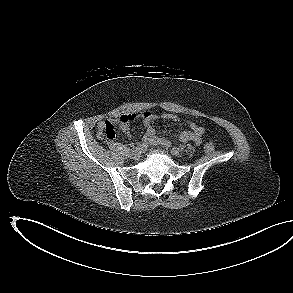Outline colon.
Wrapping results in <instances>:
<instances>
[{
    "instance_id": "obj_1",
    "label": "colon",
    "mask_w": 293,
    "mask_h": 293,
    "mask_svg": "<svg viewBox=\"0 0 293 293\" xmlns=\"http://www.w3.org/2000/svg\"><path fill=\"white\" fill-rule=\"evenodd\" d=\"M125 123H126V121L123 118H119V119L111 118V119H108L105 122V126H104L103 130L99 134L100 138L103 139V140H106V141H109V140L113 139L114 136H115V128H116V126L120 125V126L123 127L125 125ZM204 148H205V151L211 152L214 149V145L211 142H207L205 144Z\"/></svg>"
}]
</instances>
